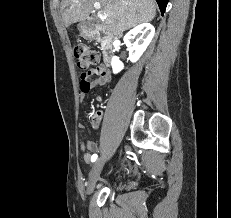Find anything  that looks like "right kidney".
Listing matches in <instances>:
<instances>
[{"instance_id": "obj_1", "label": "right kidney", "mask_w": 231, "mask_h": 218, "mask_svg": "<svg viewBox=\"0 0 231 218\" xmlns=\"http://www.w3.org/2000/svg\"><path fill=\"white\" fill-rule=\"evenodd\" d=\"M155 28L150 23H143L130 30L124 37V43L129 51V60L136 62L146 50L152 38L154 37ZM137 36V39L135 40ZM113 73L120 72L124 65L118 57L114 56L111 61Z\"/></svg>"}]
</instances>
